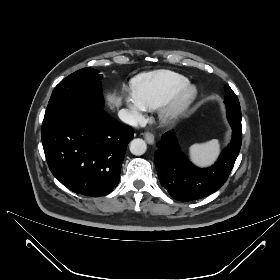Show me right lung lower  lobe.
<instances>
[{"mask_svg": "<svg viewBox=\"0 0 280 280\" xmlns=\"http://www.w3.org/2000/svg\"><path fill=\"white\" fill-rule=\"evenodd\" d=\"M41 137L52 174L75 193L100 197L118 185L134 130L102 107L67 106L45 114Z\"/></svg>", "mask_w": 280, "mask_h": 280, "instance_id": "98d812e1", "label": "right lung lower lobe"}]
</instances>
